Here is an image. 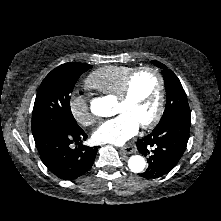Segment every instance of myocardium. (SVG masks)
I'll use <instances>...</instances> for the list:
<instances>
[{
	"instance_id": "f54148a6",
	"label": "myocardium",
	"mask_w": 221,
	"mask_h": 221,
	"mask_svg": "<svg viewBox=\"0 0 221 221\" xmlns=\"http://www.w3.org/2000/svg\"><path fill=\"white\" fill-rule=\"evenodd\" d=\"M149 72L152 73L156 76L158 83H159V95H158V102H157V107L156 111L153 115V117L140 125L141 128L143 129H148L154 127L159 120L162 117L163 111H164V105H165V79L161 72L151 66H143L135 69L133 72H131L128 77L126 78L123 87L119 94L117 95V100L124 102L129 99L132 91V85L134 80L138 75L141 73Z\"/></svg>"
}]
</instances>
